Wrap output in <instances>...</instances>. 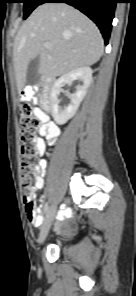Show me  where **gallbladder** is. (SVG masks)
Segmentation results:
<instances>
[{
  "label": "gallbladder",
  "instance_id": "obj_1",
  "mask_svg": "<svg viewBox=\"0 0 136 296\" xmlns=\"http://www.w3.org/2000/svg\"><path fill=\"white\" fill-rule=\"evenodd\" d=\"M39 67H40V58L39 56L35 57L28 65L26 80L27 83L34 84L39 81Z\"/></svg>",
  "mask_w": 136,
  "mask_h": 296
}]
</instances>
